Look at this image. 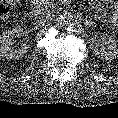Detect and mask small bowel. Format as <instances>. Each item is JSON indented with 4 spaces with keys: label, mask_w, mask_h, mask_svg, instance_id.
<instances>
[{
    "label": "small bowel",
    "mask_w": 118,
    "mask_h": 118,
    "mask_svg": "<svg viewBox=\"0 0 118 118\" xmlns=\"http://www.w3.org/2000/svg\"><path fill=\"white\" fill-rule=\"evenodd\" d=\"M116 7L118 8V2L116 3Z\"/></svg>",
    "instance_id": "obj_1"
}]
</instances>
